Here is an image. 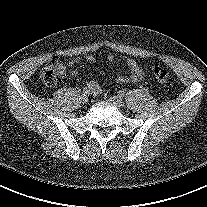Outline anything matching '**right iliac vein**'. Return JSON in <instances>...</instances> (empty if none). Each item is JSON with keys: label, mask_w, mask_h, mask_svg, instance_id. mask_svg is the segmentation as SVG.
<instances>
[{"label": "right iliac vein", "mask_w": 207, "mask_h": 207, "mask_svg": "<svg viewBox=\"0 0 207 207\" xmlns=\"http://www.w3.org/2000/svg\"><path fill=\"white\" fill-rule=\"evenodd\" d=\"M88 101H89L88 96L83 94V95L81 96V102H82L83 104H87Z\"/></svg>", "instance_id": "right-iliac-vein-1"}]
</instances>
